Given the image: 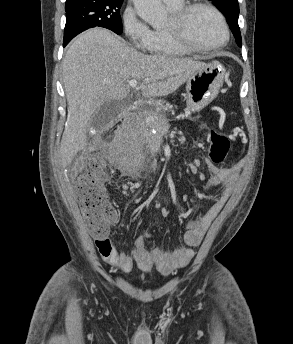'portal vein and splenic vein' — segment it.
Segmentation results:
<instances>
[{"label": "portal vein and splenic vein", "mask_w": 293, "mask_h": 344, "mask_svg": "<svg viewBox=\"0 0 293 344\" xmlns=\"http://www.w3.org/2000/svg\"><path fill=\"white\" fill-rule=\"evenodd\" d=\"M129 86L132 87V88H136L137 87V81L132 79L128 82Z\"/></svg>", "instance_id": "portal-vein-and-splenic-vein-1"}]
</instances>
